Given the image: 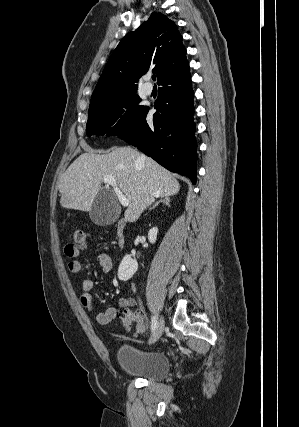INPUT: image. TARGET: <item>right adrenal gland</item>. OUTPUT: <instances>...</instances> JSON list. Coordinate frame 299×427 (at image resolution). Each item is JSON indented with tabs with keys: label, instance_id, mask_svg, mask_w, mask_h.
Instances as JSON below:
<instances>
[{
	"label": "right adrenal gland",
	"instance_id": "1",
	"mask_svg": "<svg viewBox=\"0 0 299 427\" xmlns=\"http://www.w3.org/2000/svg\"><path fill=\"white\" fill-rule=\"evenodd\" d=\"M160 203H164L167 206H170V198L168 196H166L164 198H161L160 200H158L157 202H155L154 205L149 208V210L156 208Z\"/></svg>",
	"mask_w": 299,
	"mask_h": 427
}]
</instances>
